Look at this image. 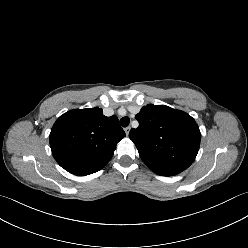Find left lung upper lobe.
Instances as JSON below:
<instances>
[{"label": "left lung upper lobe", "mask_w": 248, "mask_h": 248, "mask_svg": "<svg viewBox=\"0 0 248 248\" xmlns=\"http://www.w3.org/2000/svg\"><path fill=\"white\" fill-rule=\"evenodd\" d=\"M135 118L139 126L130 130L129 137L154 173L173 176L192 164L201 133L189 114L165 105L149 104Z\"/></svg>", "instance_id": "5c2ea615"}]
</instances>
